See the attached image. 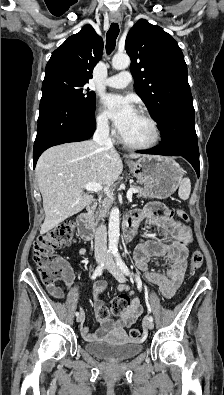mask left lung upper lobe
<instances>
[{"instance_id":"left-lung-upper-lobe-1","label":"left lung upper lobe","mask_w":224,"mask_h":395,"mask_svg":"<svg viewBox=\"0 0 224 395\" xmlns=\"http://www.w3.org/2000/svg\"><path fill=\"white\" fill-rule=\"evenodd\" d=\"M125 49L131 58L136 92L158 125L169 110L193 105L187 65L170 34L140 19L130 29Z\"/></svg>"}]
</instances>
